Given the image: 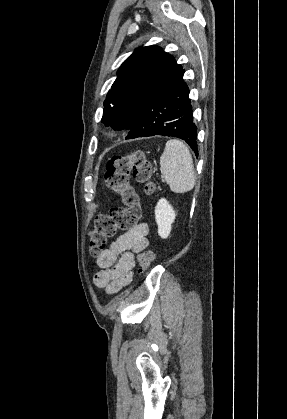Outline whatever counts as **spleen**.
Wrapping results in <instances>:
<instances>
[{
    "instance_id": "obj_1",
    "label": "spleen",
    "mask_w": 287,
    "mask_h": 419,
    "mask_svg": "<svg viewBox=\"0 0 287 419\" xmlns=\"http://www.w3.org/2000/svg\"><path fill=\"white\" fill-rule=\"evenodd\" d=\"M160 170L175 193H185L195 185L193 159L188 147L180 140H168L160 157Z\"/></svg>"
}]
</instances>
